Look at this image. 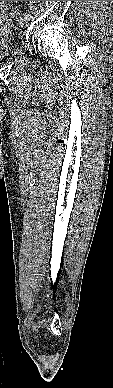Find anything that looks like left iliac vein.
Masks as SVG:
<instances>
[{"label":"left iliac vein","mask_w":113,"mask_h":388,"mask_svg":"<svg viewBox=\"0 0 113 388\" xmlns=\"http://www.w3.org/2000/svg\"><path fill=\"white\" fill-rule=\"evenodd\" d=\"M29 20L26 18V16H23L19 19V24L22 27H26L28 24Z\"/></svg>","instance_id":"1"}]
</instances>
